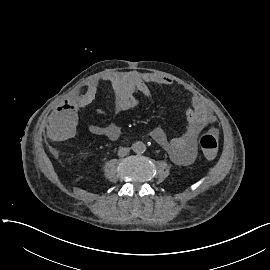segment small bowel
Wrapping results in <instances>:
<instances>
[{
    "instance_id": "1",
    "label": "small bowel",
    "mask_w": 270,
    "mask_h": 270,
    "mask_svg": "<svg viewBox=\"0 0 270 270\" xmlns=\"http://www.w3.org/2000/svg\"><path fill=\"white\" fill-rule=\"evenodd\" d=\"M100 81L111 85L114 92V110L120 115L137 108L150 99V84L171 86L172 80L156 73H141L138 71H122L106 74L101 80H92L85 91L75 100L64 101L57 105L55 114L50 115L44 122L43 128L47 135L57 140H67L76 134L81 126L76 116L80 109L89 105L95 98ZM139 92L143 98H137ZM186 128L177 137L168 138L161 128L154 129L150 136L159 144L176 164H189L197 154L196 140L199 133L208 126L210 130L218 132L213 125L216 117L207 105L198 97L191 99L190 106L186 109ZM89 132L94 136L104 137L110 141L120 138L122 127L119 123L109 125H93Z\"/></svg>"
}]
</instances>
